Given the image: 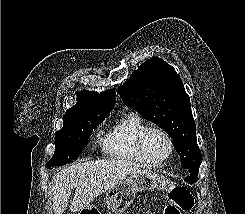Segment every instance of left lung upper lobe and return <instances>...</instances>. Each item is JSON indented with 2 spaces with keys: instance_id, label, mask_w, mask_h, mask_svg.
Here are the masks:
<instances>
[{
  "instance_id": "left-lung-upper-lobe-1",
  "label": "left lung upper lobe",
  "mask_w": 245,
  "mask_h": 214,
  "mask_svg": "<svg viewBox=\"0 0 245 214\" xmlns=\"http://www.w3.org/2000/svg\"><path fill=\"white\" fill-rule=\"evenodd\" d=\"M125 105L159 125L171 138L182 167L198 173L202 163L196 140V125L190 98L175 69L161 58L152 57L118 87Z\"/></svg>"
}]
</instances>
